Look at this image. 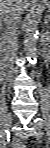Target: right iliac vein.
<instances>
[{"instance_id":"63e3f726","label":"right iliac vein","mask_w":50,"mask_h":148,"mask_svg":"<svg viewBox=\"0 0 50 148\" xmlns=\"http://www.w3.org/2000/svg\"><path fill=\"white\" fill-rule=\"evenodd\" d=\"M13 121L12 113H8L5 117V124L0 133L1 145L5 142L6 139V130L10 127Z\"/></svg>"}]
</instances>
